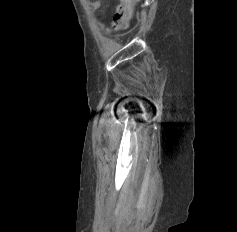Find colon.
<instances>
[{
    "instance_id": "5ec220e1",
    "label": "colon",
    "mask_w": 237,
    "mask_h": 232,
    "mask_svg": "<svg viewBox=\"0 0 237 232\" xmlns=\"http://www.w3.org/2000/svg\"><path fill=\"white\" fill-rule=\"evenodd\" d=\"M138 0H120V4L113 17L114 29H125L132 18L133 6Z\"/></svg>"
}]
</instances>
